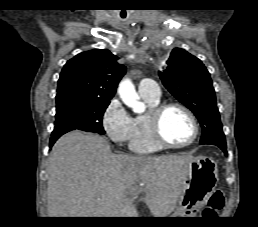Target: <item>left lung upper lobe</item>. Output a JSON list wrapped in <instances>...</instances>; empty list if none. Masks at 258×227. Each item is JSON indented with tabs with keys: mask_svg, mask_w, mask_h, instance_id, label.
<instances>
[{
	"mask_svg": "<svg viewBox=\"0 0 258 227\" xmlns=\"http://www.w3.org/2000/svg\"><path fill=\"white\" fill-rule=\"evenodd\" d=\"M164 86L198 118L200 144H226L215 91L204 64L187 51L175 48L159 72Z\"/></svg>",
	"mask_w": 258,
	"mask_h": 227,
	"instance_id": "left-lung-upper-lobe-1",
	"label": "left lung upper lobe"
}]
</instances>
